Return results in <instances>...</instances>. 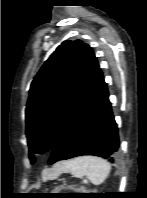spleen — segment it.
Segmentation results:
<instances>
[{"instance_id": "spleen-1", "label": "spleen", "mask_w": 147, "mask_h": 198, "mask_svg": "<svg viewBox=\"0 0 147 198\" xmlns=\"http://www.w3.org/2000/svg\"><path fill=\"white\" fill-rule=\"evenodd\" d=\"M110 164L96 156H82L67 162L65 171L76 178L87 177L94 185L102 184L110 173Z\"/></svg>"}]
</instances>
